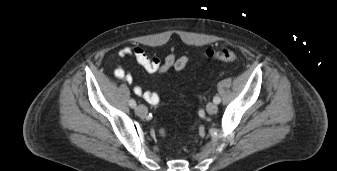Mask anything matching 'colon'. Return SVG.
Returning <instances> with one entry per match:
<instances>
[{"mask_svg":"<svg viewBox=\"0 0 337 171\" xmlns=\"http://www.w3.org/2000/svg\"><path fill=\"white\" fill-rule=\"evenodd\" d=\"M205 56L209 59L219 60L223 62H234L237 59L236 53L227 48L219 49V50H207L205 52ZM164 135V132H162Z\"/></svg>","mask_w":337,"mask_h":171,"instance_id":"1","label":"colon"}]
</instances>
